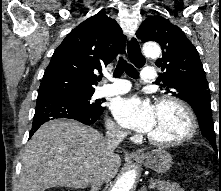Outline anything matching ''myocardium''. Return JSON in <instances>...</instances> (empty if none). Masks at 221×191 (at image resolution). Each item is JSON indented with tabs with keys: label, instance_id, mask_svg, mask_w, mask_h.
I'll use <instances>...</instances> for the list:
<instances>
[{
	"label": "myocardium",
	"instance_id": "obj_1",
	"mask_svg": "<svg viewBox=\"0 0 221 191\" xmlns=\"http://www.w3.org/2000/svg\"><path fill=\"white\" fill-rule=\"evenodd\" d=\"M164 104H172L177 106L180 110H182L187 119L186 131L180 137L172 140H159L148 135V141L151 144L160 147H174L179 146L192 139L196 134L198 128L197 118L192 108L182 99L171 95L161 96L157 99L156 107H159Z\"/></svg>",
	"mask_w": 221,
	"mask_h": 191
}]
</instances>
